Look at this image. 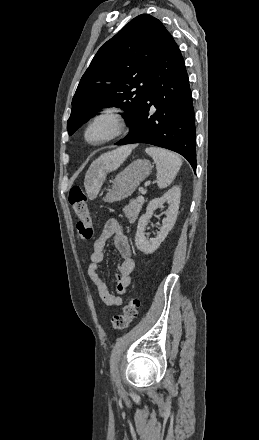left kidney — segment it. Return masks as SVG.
I'll list each match as a JSON object with an SVG mask.
<instances>
[{"label":"left kidney","mask_w":259,"mask_h":440,"mask_svg":"<svg viewBox=\"0 0 259 440\" xmlns=\"http://www.w3.org/2000/svg\"><path fill=\"white\" fill-rule=\"evenodd\" d=\"M181 197V190L178 186H174L169 189L164 195L159 198H155L151 200L146 208V213L143 214L137 225V231L135 235V245L137 249L145 254H152L155 252L160 244L165 240L168 233L173 228L177 214L179 210ZM165 202L168 203V209L165 212L166 218L162 221V226L160 227V231L157 233V236L153 239H148L145 236V230L148 225V221L153 215V212L160 206H162Z\"/></svg>","instance_id":"1"}]
</instances>
